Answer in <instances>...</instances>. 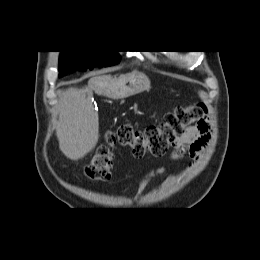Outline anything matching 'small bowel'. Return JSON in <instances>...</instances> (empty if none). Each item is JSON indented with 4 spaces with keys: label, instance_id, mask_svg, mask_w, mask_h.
Returning <instances> with one entry per match:
<instances>
[{
    "label": "small bowel",
    "instance_id": "obj_1",
    "mask_svg": "<svg viewBox=\"0 0 260 260\" xmlns=\"http://www.w3.org/2000/svg\"><path fill=\"white\" fill-rule=\"evenodd\" d=\"M210 139L209 123L206 120L201 121L195 126L189 127L182 136H180L173 146L171 159L177 160L184 156H189L192 159H197L203 151ZM166 173L163 167L150 170L142 179L139 190L142 191L148 183L158 175ZM174 178L173 175L169 177V181Z\"/></svg>",
    "mask_w": 260,
    "mask_h": 260
}]
</instances>
